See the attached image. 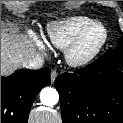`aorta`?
Segmentation results:
<instances>
[{
	"label": "aorta",
	"mask_w": 123,
	"mask_h": 123,
	"mask_svg": "<svg viewBox=\"0 0 123 123\" xmlns=\"http://www.w3.org/2000/svg\"><path fill=\"white\" fill-rule=\"evenodd\" d=\"M40 100L43 105L53 106L59 100V94L56 89L45 87L40 92Z\"/></svg>",
	"instance_id": "762f6f07"
}]
</instances>
